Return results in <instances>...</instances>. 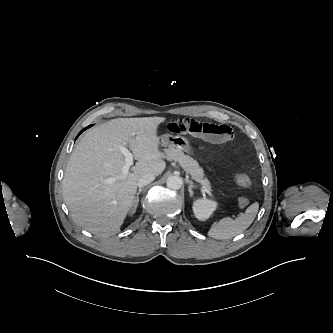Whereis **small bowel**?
Wrapping results in <instances>:
<instances>
[{
  "instance_id": "c3829d8e",
  "label": "small bowel",
  "mask_w": 333,
  "mask_h": 333,
  "mask_svg": "<svg viewBox=\"0 0 333 333\" xmlns=\"http://www.w3.org/2000/svg\"><path fill=\"white\" fill-rule=\"evenodd\" d=\"M173 134L191 135L213 144H221L233 139V130L226 124H215L190 117L171 118L164 123Z\"/></svg>"
}]
</instances>
